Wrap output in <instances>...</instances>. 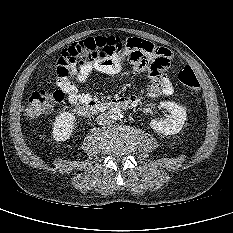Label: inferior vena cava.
<instances>
[{
  "instance_id": "1",
  "label": "inferior vena cava",
  "mask_w": 233,
  "mask_h": 233,
  "mask_svg": "<svg viewBox=\"0 0 233 233\" xmlns=\"http://www.w3.org/2000/svg\"><path fill=\"white\" fill-rule=\"evenodd\" d=\"M97 123L99 125H109L112 123V120L110 119L108 114L103 113V114L98 115Z\"/></svg>"
}]
</instances>
